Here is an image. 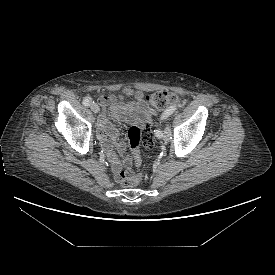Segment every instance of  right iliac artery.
I'll return each mask as SVG.
<instances>
[{"instance_id": "1", "label": "right iliac artery", "mask_w": 275, "mask_h": 275, "mask_svg": "<svg viewBox=\"0 0 275 275\" xmlns=\"http://www.w3.org/2000/svg\"><path fill=\"white\" fill-rule=\"evenodd\" d=\"M91 102H92L91 99H89L87 97L83 99V104L85 106H90Z\"/></svg>"}]
</instances>
